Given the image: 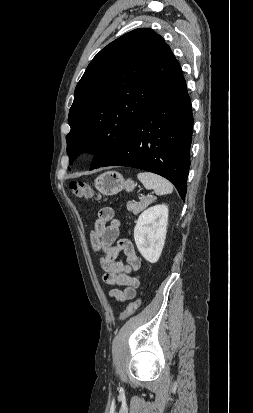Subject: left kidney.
<instances>
[{"mask_svg":"<svg viewBox=\"0 0 253 413\" xmlns=\"http://www.w3.org/2000/svg\"><path fill=\"white\" fill-rule=\"evenodd\" d=\"M168 224V206L155 205L138 218L134 239L141 255L150 263H156L162 253Z\"/></svg>","mask_w":253,"mask_h":413,"instance_id":"left-kidney-1","label":"left kidney"}]
</instances>
